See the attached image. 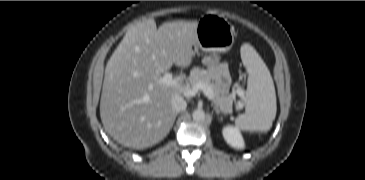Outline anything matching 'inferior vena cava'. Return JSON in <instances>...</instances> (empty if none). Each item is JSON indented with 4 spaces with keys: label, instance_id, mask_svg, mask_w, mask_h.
Returning <instances> with one entry per match:
<instances>
[{
    "label": "inferior vena cava",
    "instance_id": "obj_1",
    "mask_svg": "<svg viewBox=\"0 0 365 180\" xmlns=\"http://www.w3.org/2000/svg\"><path fill=\"white\" fill-rule=\"evenodd\" d=\"M171 107L174 113H179L186 109L187 103L182 96L175 95L171 99Z\"/></svg>",
    "mask_w": 365,
    "mask_h": 180
}]
</instances>
